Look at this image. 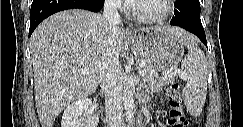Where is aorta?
Listing matches in <instances>:
<instances>
[{
	"label": "aorta",
	"mask_w": 243,
	"mask_h": 127,
	"mask_svg": "<svg viewBox=\"0 0 243 127\" xmlns=\"http://www.w3.org/2000/svg\"><path fill=\"white\" fill-rule=\"evenodd\" d=\"M123 105H124L127 121L131 123L134 116V98H133L131 86L129 84H126L124 86Z\"/></svg>",
	"instance_id": "obj_1"
}]
</instances>
